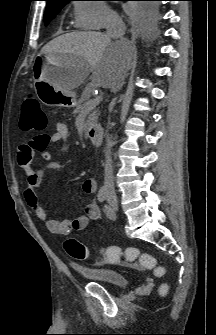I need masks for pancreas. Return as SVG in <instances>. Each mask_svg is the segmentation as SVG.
<instances>
[{
    "label": "pancreas",
    "mask_w": 216,
    "mask_h": 335,
    "mask_svg": "<svg viewBox=\"0 0 216 335\" xmlns=\"http://www.w3.org/2000/svg\"><path fill=\"white\" fill-rule=\"evenodd\" d=\"M92 90L90 88H87L81 95V98L78 100L76 109L74 111L75 114L80 112H85L88 117L87 121L84 124L85 130H87L91 125L95 124L98 120V110L94 108H89V103L91 102L89 100L90 94Z\"/></svg>",
    "instance_id": "pancreas-1"
}]
</instances>
